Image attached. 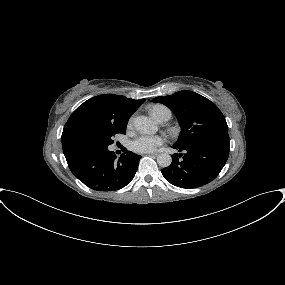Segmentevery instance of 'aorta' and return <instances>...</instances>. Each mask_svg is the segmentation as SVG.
<instances>
[{
    "instance_id": "obj_1",
    "label": "aorta",
    "mask_w": 285,
    "mask_h": 285,
    "mask_svg": "<svg viewBox=\"0 0 285 285\" xmlns=\"http://www.w3.org/2000/svg\"><path fill=\"white\" fill-rule=\"evenodd\" d=\"M134 125L137 130L143 133H155L158 131V126L146 116H138L134 120ZM157 163L161 167H168L172 163V157L167 153H162L157 157Z\"/></svg>"
}]
</instances>
